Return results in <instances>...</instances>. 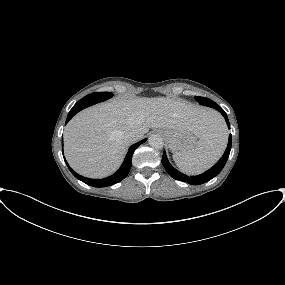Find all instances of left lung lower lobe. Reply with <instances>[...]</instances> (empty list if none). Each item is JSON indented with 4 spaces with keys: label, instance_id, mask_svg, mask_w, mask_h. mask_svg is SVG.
<instances>
[{
    "label": "left lung lower lobe",
    "instance_id": "1",
    "mask_svg": "<svg viewBox=\"0 0 285 285\" xmlns=\"http://www.w3.org/2000/svg\"><path fill=\"white\" fill-rule=\"evenodd\" d=\"M216 110H218L224 116L226 123H227L228 127L230 128V124H229V120L227 118L226 112L220 106H218L216 108ZM230 150H231V135L229 136L228 145H227V148H226L222 158L212 168H210L209 170H207L203 174H200L197 176H187V175L179 172L178 170H176L169 163L165 151H164L163 157H162V164H163L165 170L168 172V174L172 178H174L176 180L183 181V182H187L191 185H200V184L208 182L209 180H211L212 178H214L215 176H217L221 172V170L223 169V167L225 166V164L227 162V159H228L229 154H230Z\"/></svg>",
    "mask_w": 285,
    "mask_h": 285
}]
</instances>
